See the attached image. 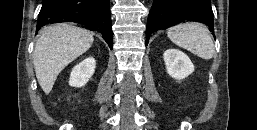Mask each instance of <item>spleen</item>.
Instances as JSON below:
<instances>
[{"label":"spleen","mask_w":257,"mask_h":130,"mask_svg":"<svg viewBox=\"0 0 257 130\" xmlns=\"http://www.w3.org/2000/svg\"><path fill=\"white\" fill-rule=\"evenodd\" d=\"M168 38L198 57L209 60L214 55V44L208 30L199 23H185L171 27Z\"/></svg>","instance_id":"spleen-1"}]
</instances>
